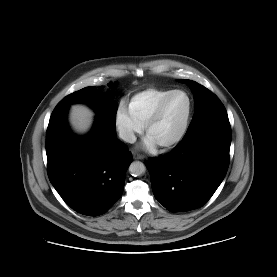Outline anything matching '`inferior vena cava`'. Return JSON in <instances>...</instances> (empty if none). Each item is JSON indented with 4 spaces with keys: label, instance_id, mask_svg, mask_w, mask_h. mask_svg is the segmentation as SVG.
<instances>
[{
    "label": "inferior vena cava",
    "instance_id": "obj_1",
    "mask_svg": "<svg viewBox=\"0 0 277 277\" xmlns=\"http://www.w3.org/2000/svg\"><path fill=\"white\" fill-rule=\"evenodd\" d=\"M119 137L128 143H134L137 139L132 131L124 128L119 130Z\"/></svg>",
    "mask_w": 277,
    "mask_h": 277
}]
</instances>
